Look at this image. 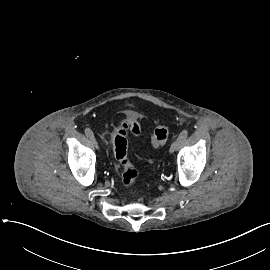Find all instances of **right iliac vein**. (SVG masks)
<instances>
[{
	"label": "right iliac vein",
	"instance_id": "63e3f726",
	"mask_svg": "<svg viewBox=\"0 0 270 270\" xmlns=\"http://www.w3.org/2000/svg\"><path fill=\"white\" fill-rule=\"evenodd\" d=\"M91 143L95 148H98V142L94 136L90 137Z\"/></svg>",
	"mask_w": 270,
	"mask_h": 270
}]
</instances>
